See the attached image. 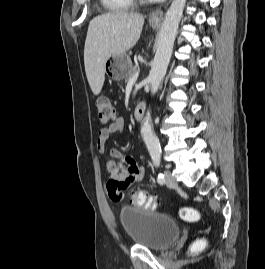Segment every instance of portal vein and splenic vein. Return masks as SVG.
Listing matches in <instances>:
<instances>
[{
    "label": "portal vein and splenic vein",
    "mask_w": 265,
    "mask_h": 269,
    "mask_svg": "<svg viewBox=\"0 0 265 269\" xmlns=\"http://www.w3.org/2000/svg\"><path fill=\"white\" fill-rule=\"evenodd\" d=\"M139 73L137 72L133 77L129 80V84H134L137 81Z\"/></svg>",
    "instance_id": "obj_1"
}]
</instances>
